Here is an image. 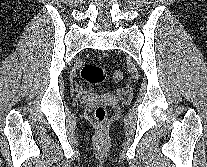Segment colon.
<instances>
[{
	"instance_id": "5ec220e1",
	"label": "colon",
	"mask_w": 207,
	"mask_h": 167,
	"mask_svg": "<svg viewBox=\"0 0 207 167\" xmlns=\"http://www.w3.org/2000/svg\"><path fill=\"white\" fill-rule=\"evenodd\" d=\"M107 75L106 68L95 65L86 64L81 69V77L89 84L97 85L104 81ZM123 78V73L118 71L114 74V80L119 81ZM94 117L99 123H103L107 117V111L104 106H97L94 111Z\"/></svg>"
}]
</instances>
